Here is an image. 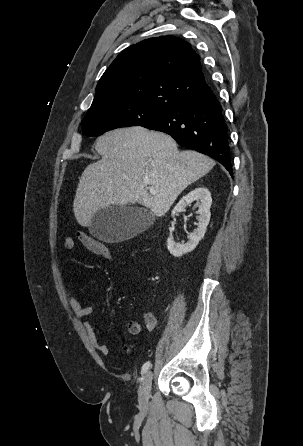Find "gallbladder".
I'll use <instances>...</instances> for the list:
<instances>
[{"label": "gallbladder", "mask_w": 303, "mask_h": 446, "mask_svg": "<svg viewBox=\"0 0 303 446\" xmlns=\"http://www.w3.org/2000/svg\"><path fill=\"white\" fill-rule=\"evenodd\" d=\"M154 217L144 209L111 206L99 210L91 220L90 234L105 242H120L148 228Z\"/></svg>", "instance_id": "gallbladder-1"}]
</instances>
